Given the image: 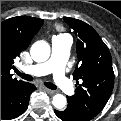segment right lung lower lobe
Listing matches in <instances>:
<instances>
[{
	"instance_id": "98d812e1",
	"label": "right lung lower lobe",
	"mask_w": 121,
	"mask_h": 121,
	"mask_svg": "<svg viewBox=\"0 0 121 121\" xmlns=\"http://www.w3.org/2000/svg\"><path fill=\"white\" fill-rule=\"evenodd\" d=\"M36 87L23 83L13 87L1 95V119H13L21 115L28 107L30 94Z\"/></svg>"
}]
</instances>
